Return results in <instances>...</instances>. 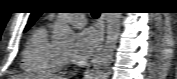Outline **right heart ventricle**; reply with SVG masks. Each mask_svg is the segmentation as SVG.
I'll list each match as a JSON object with an SVG mask.
<instances>
[{"label": "right heart ventricle", "instance_id": "e07e8e85", "mask_svg": "<svg viewBox=\"0 0 177 79\" xmlns=\"http://www.w3.org/2000/svg\"><path fill=\"white\" fill-rule=\"evenodd\" d=\"M60 50L49 40V26L36 28L28 39L22 53V69L37 74L53 75L60 71Z\"/></svg>", "mask_w": 177, "mask_h": 79}]
</instances>
